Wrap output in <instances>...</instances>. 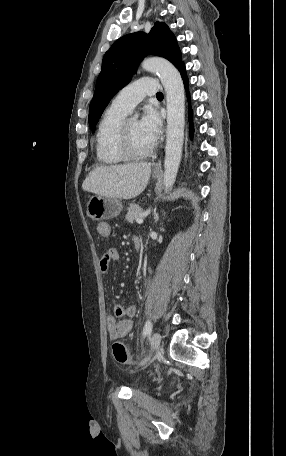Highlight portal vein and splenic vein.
I'll list each match as a JSON object with an SVG mask.
<instances>
[{
	"label": "portal vein and splenic vein",
	"mask_w": 286,
	"mask_h": 456,
	"mask_svg": "<svg viewBox=\"0 0 286 456\" xmlns=\"http://www.w3.org/2000/svg\"><path fill=\"white\" fill-rule=\"evenodd\" d=\"M149 214V211L145 212L141 217L137 218L136 219V222L138 224H142L144 222V218H146Z\"/></svg>",
	"instance_id": "18ae733b"
}]
</instances>
